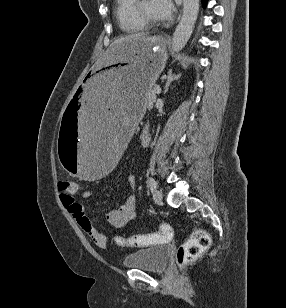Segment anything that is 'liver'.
<instances>
[{
  "mask_svg": "<svg viewBox=\"0 0 286 308\" xmlns=\"http://www.w3.org/2000/svg\"><path fill=\"white\" fill-rule=\"evenodd\" d=\"M146 36H147L146 33H137V34H132V35H128V36H125V37L118 38V39H116L115 41L112 42L108 52L111 49H113L116 45H118V44H120L124 41H129V40H132V39L142 38V37H146Z\"/></svg>",
  "mask_w": 286,
  "mask_h": 308,
  "instance_id": "obj_1",
  "label": "liver"
}]
</instances>
